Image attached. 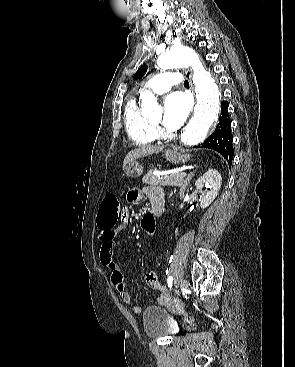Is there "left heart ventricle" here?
Here are the masks:
<instances>
[{
  "label": "left heart ventricle",
  "mask_w": 295,
  "mask_h": 367,
  "mask_svg": "<svg viewBox=\"0 0 295 367\" xmlns=\"http://www.w3.org/2000/svg\"><path fill=\"white\" fill-rule=\"evenodd\" d=\"M160 120H161V115H159V116H157L156 118H154V119L152 120V122H153V123H155V124H158V123L160 122Z\"/></svg>",
  "instance_id": "1"
}]
</instances>
